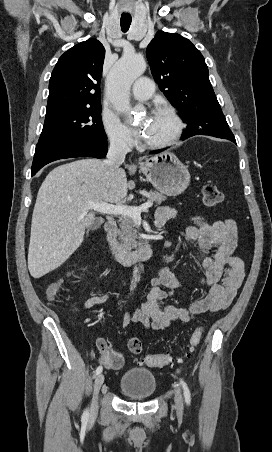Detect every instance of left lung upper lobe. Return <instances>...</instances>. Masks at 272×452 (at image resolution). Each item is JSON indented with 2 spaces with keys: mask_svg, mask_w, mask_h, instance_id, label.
<instances>
[{
  "mask_svg": "<svg viewBox=\"0 0 272 452\" xmlns=\"http://www.w3.org/2000/svg\"><path fill=\"white\" fill-rule=\"evenodd\" d=\"M146 55L154 79L180 110L187 130L210 136L232 134L210 83L204 57L188 39L158 31Z\"/></svg>",
  "mask_w": 272,
  "mask_h": 452,
  "instance_id": "1",
  "label": "left lung upper lobe"
}]
</instances>
